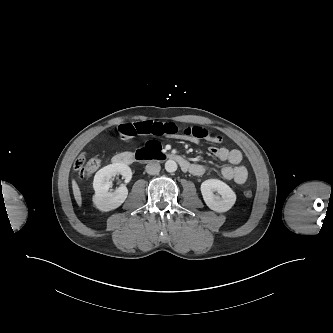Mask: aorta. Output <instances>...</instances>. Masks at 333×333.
Here are the masks:
<instances>
[{"label": "aorta", "mask_w": 333, "mask_h": 333, "mask_svg": "<svg viewBox=\"0 0 333 333\" xmlns=\"http://www.w3.org/2000/svg\"><path fill=\"white\" fill-rule=\"evenodd\" d=\"M165 170L169 173L175 172L177 170V163L174 160H167L165 162Z\"/></svg>", "instance_id": "762f6f07"}]
</instances>
